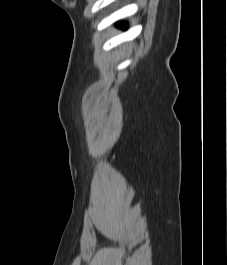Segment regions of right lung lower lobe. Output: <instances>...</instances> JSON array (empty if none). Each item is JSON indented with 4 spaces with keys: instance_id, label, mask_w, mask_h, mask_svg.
Segmentation results:
<instances>
[{
    "instance_id": "1",
    "label": "right lung lower lobe",
    "mask_w": 227,
    "mask_h": 265,
    "mask_svg": "<svg viewBox=\"0 0 227 265\" xmlns=\"http://www.w3.org/2000/svg\"><path fill=\"white\" fill-rule=\"evenodd\" d=\"M121 25L125 27V24L124 23H121Z\"/></svg>"
}]
</instances>
